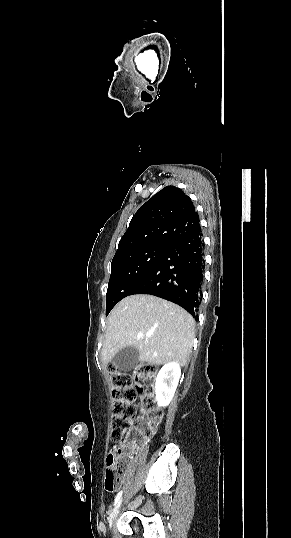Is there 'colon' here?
<instances>
[{
  "mask_svg": "<svg viewBox=\"0 0 291 538\" xmlns=\"http://www.w3.org/2000/svg\"><path fill=\"white\" fill-rule=\"evenodd\" d=\"M108 371L112 380L113 398L111 439L115 446L107 457L105 485L112 491L118 487L125 471V463H121L125 454L120 445L125 442L134 443L139 437L152 436L162 418V411L154 398L157 370L153 365L140 364L132 373H126L111 364ZM137 395L147 414V420L139 425H135L137 408L134 402Z\"/></svg>",
  "mask_w": 291,
  "mask_h": 538,
  "instance_id": "obj_1",
  "label": "colon"
}]
</instances>
